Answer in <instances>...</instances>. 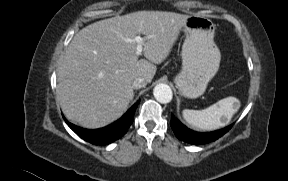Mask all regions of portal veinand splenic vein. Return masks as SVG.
I'll return each instance as SVG.
<instances>
[{"instance_id": "18ae733b", "label": "portal vein and splenic vein", "mask_w": 288, "mask_h": 181, "mask_svg": "<svg viewBox=\"0 0 288 181\" xmlns=\"http://www.w3.org/2000/svg\"><path fill=\"white\" fill-rule=\"evenodd\" d=\"M145 37L143 38V37H140V36H136L135 38H134V42H136L137 43V46H136V55L137 56H139V55H141V53H142V50H143V42L145 41Z\"/></svg>"}]
</instances>
